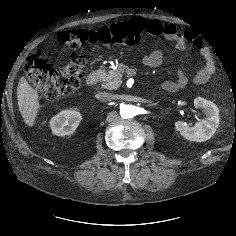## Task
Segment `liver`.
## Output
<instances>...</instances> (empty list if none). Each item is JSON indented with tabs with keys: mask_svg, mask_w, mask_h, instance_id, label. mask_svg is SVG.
<instances>
[{
	"mask_svg": "<svg viewBox=\"0 0 236 236\" xmlns=\"http://www.w3.org/2000/svg\"><path fill=\"white\" fill-rule=\"evenodd\" d=\"M17 100L19 111L27 126L35 124L38 110L40 109L39 95L37 91L29 85L24 76L20 78L17 87Z\"/></svg>",
	"mask_w": 236,
	"mask_h": 236,
	"instance_id": "6515ba94",
	"label": "liver"
}]
</instances>
